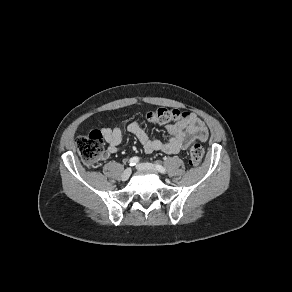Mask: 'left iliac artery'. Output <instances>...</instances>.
<instances>
[{
	"mask_svg": "<svg viewBox=\"0 0 292 292\" xmlns=\"http://www.w3.org/2000/svg\"><path fill=\"white\" fill-rule=\"evenodd\" d=\"M155 167L160 173H163V174L166 173V169L162 165L156 164Z\"/></svg>",
	"mask_w": 292,
	"mask_h": 292,
	"instance_id": "left-iliac-artery-1",
	"label": "left iliac artery"
}]
</instances>
